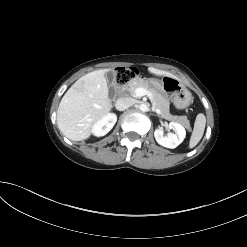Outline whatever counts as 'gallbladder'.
Segmentation results:
<instances>
[{
  "label": "gallbladder",
  "instance_id": "obj_1",
  "mask_svg": "<svg viewBox=\"0 0 247 247\" xmlns=\"http://www.w3.org/2000/svg\"><path fill=\"white\" fill-rule=\"evenodd\" d=\"M105 78L108 82L110 91L113 90L114 82H115V73L114 71L110 70L105 73Z\"/></svg>",
  "mask_w": 247,
  "mask_h": 247
}]
</instances>
